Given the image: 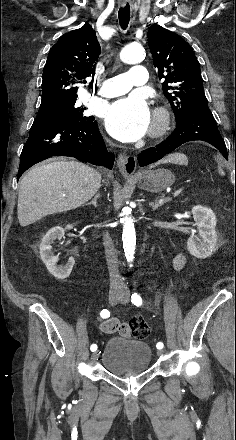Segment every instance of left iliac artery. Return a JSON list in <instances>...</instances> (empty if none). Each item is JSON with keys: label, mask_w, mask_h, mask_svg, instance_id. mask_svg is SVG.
<instances>
[{"label": "left iliac artery", "mask_w": 236, "mask_h": 440, "mask_svg": "<svg viewBox=\"0 0 236 440\" xmlns=\"http://www.w3.org/2000/svg\"><path fill=\"white\" fill-rule=\"evenodd\" d=\"M131 302H132L134 305H136V306H140V305H142V298L140 297L139 294L134 293V294H132V296H131ZM163 346H164V345H163L162 342H158L157 345H156L157 349H162Z\"/></svg>", "instance_id": "left-iliac-artery-1"}]
</instances>
